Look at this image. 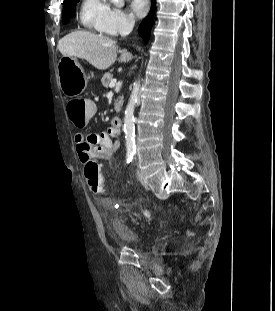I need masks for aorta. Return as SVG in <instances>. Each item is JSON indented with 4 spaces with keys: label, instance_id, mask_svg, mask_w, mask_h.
Listing matches in <instances>:
<instances>
[{
    "label": "aorta",
    "instance_id": "762f6f07",
    "mask_svg": "<svg viewBox=\"0 0 275 311\" xmlns=\"http://www.w3.org/2000/svg\"><path fill=\"white\" fill-rule=\"evenodd\" d=\"M110 2L117 7L124 6V0H110ZM140 87H141L140 81H135L133 84V90L131 92L129 102L125 110L124 131H125L126 148L128 153L135 152L134 109L138 99Z\"/></svg>",
    "mask_w": 275,
    "mask_h": 311
}]
</instances>
